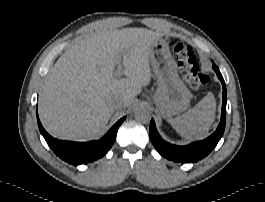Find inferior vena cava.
I'll return each instance as SVG.
<instances>
[{
  "mask_svg": "<svg viewBox=\"0 0 265 202\" xmlns=\"http://www.w3.org/2000/svg\"><path fill=\"white\" fill-rule=\"evenodd\" d=\"M108 103L114 109H121V108H123V99H122V97H120L118 95L112 96L108 100Z\"/></svg>",
  "mask_w": 265,
  "mask_h": 202,
  "instance_id": "obj_1",
  "label": "inferior vena cava"
}]
</instances>
